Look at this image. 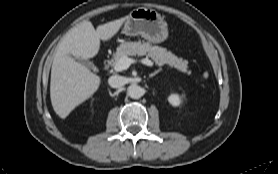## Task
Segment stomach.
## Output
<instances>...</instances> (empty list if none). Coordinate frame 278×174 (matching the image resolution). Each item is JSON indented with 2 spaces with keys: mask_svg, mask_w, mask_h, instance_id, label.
<instances>
[{
  "mask_svg": "<svg viewBox=\"0 0 278 174\" xmlns=\"http://www.w3.org/2000/svg\"><path fill=\"white\" fill-rule=\"evenodd\" d=\"M123 33L128 36L141 35L148 42L161 43L168 37V27L157 11L140 7L127 16Z\"/></svg>",
  "mask_w": 278,
  "mask_h": 174,
  "instance_id": "1",
  "label": "stomach"
}]
</instances>
